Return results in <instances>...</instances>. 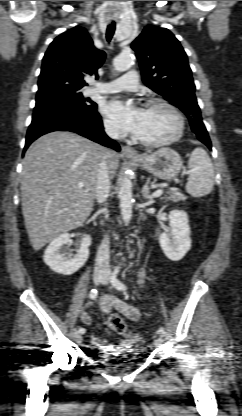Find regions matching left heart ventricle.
<instances>
[{
    "label": "left heart ventricle",
    "mask_w": 242,
    "mask_h": 416,
    "mask_svg": "<svg viewBox=\"0 0 242 416\" xmlns=\"http://www.w3.org/2000/svg\"><path fill=\"white\" fill-rule=\"evenodd\" d=\"M177 122L174 115L166 108H146L134 133L137 137L147 141H160L172 136Z\"/></svg>",
    "instance_id": "1"
}]
</instances>
